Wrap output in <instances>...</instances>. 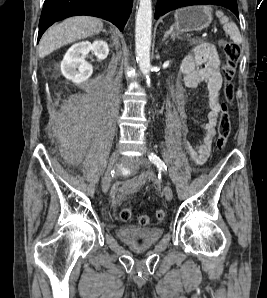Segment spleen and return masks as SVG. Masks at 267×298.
<instances>
[{"mask_svg":"<svg viewBox=\"0 0 267 298\" xmlns=\"http://www.w3.org/2000/svg\"><path fill=\"white\" fill-rule=\"evenodd\" d=\"M216 16L220 19V23L223 25V30L235 44L242 43V37L240 31L234 22H229L228 17L224 16L222 11H216Z\"/></svg>","mask_w":267,"mask_h":298,"instance_id":"1","label":"spleen"}]
</instances>
